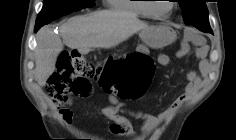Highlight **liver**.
<instances>
[{"instance_id":"obj_1","label":"liver","mask_w":236,"mask_h":140,"mask_svg":"<svg viewBox=\"0 0 236 140\" xmlns=\"http://www.w3.org/2000/svg\"><path fill=\"white\" fill-rule=\"evenodd\" d=\"M149 27L136 15L115 11H96L70 18L56 35L50 27L41 28L36 35L35 78L40 86L54 73L64 44L87 53L91 48H111L133 34Z\"/></svg>"}]
</instances>
